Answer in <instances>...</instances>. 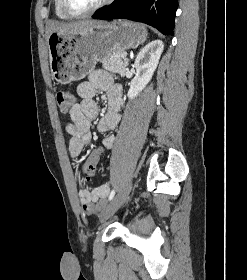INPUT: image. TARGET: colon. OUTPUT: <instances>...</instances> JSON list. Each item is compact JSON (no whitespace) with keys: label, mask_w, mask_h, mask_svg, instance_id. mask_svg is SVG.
<instances>
[{"label":"colon","mask_w":247,"mask_h":280,"mask_svg":"<svg viewBox=\"0 0 247 280\" xmlns=\"http://www.w3.org/2000/svg\"><path fill=\"white\" fill-rule=\"evenodd\" d=\"M56 100L59 110L62 113H67L74 105L75 98L71 92L62 90L57 93ZM104 154L105 149L102 145L93 148L92 153L83 166V172L87 178L94 176L95 166L99 162L100 156H103Z\"/></svg>","instance_id":"colon-1"}]
</instances>
